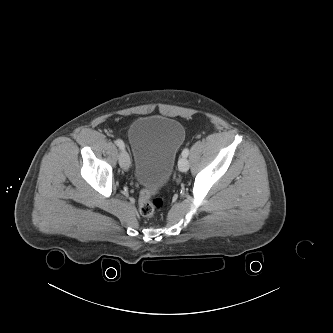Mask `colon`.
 <instances>
[{"mask_svg": "<svg viewBox=\"0 0 333 333\" xmlns=\"http://www.w3.org/2000/svg\"><path fill=\"white\" fill-rule=\"evenodd\" d=\"M139 212L142 216L151 218L164 206V200L158 196V188H148L139 196Z\"/></svg>", "mask_w": 333, "mask_h": 333, "instance_id": "obj_1", "label": "colon"}]
</instances>
